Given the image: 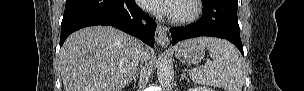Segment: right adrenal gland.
<instances>
[{"label":"right adrenal gland","mask_w":304,"mask_h":91,"mask_svg":"<svg viewBox=\"0 0 304 91\" xmlns=\"http://www.w3.org/2000/svg\"><path fill=\"white\" fill-rule=\"evenodd\" d=\"M131 82L136 83L137 82V73L135 72L133 77L131 78V80L127 83V85H129Z\"/></svg>","instance_id":"obj_1"}]
</instances>
